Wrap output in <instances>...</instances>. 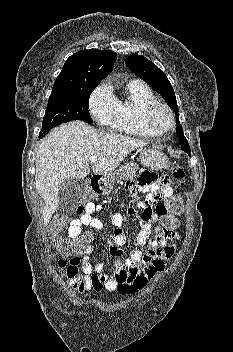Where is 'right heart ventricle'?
Returning a JSON list of instances; mask_svg holds the SVG:
<instances>
[{
	"label": "right heart ventricle",
	"mask_w": 233,
	"mask_h": 352,
	"mask_svg": "<svg viewBox=\"0 0 233 352\" xmlns=\"http://www.w3.org/2000/svg\"><path fill=\"white\" fill-rule=\"evenodd\" d=\"M127 99L119 102L116 130L120 133L153 137L143 123L145 108L157 101L150 88L140 81H131L126 87Z\"/></svg>",
	"instance_id": "1"
}]
</instances>
